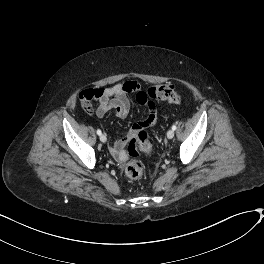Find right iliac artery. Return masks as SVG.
I'll return each instance as SVG.
<instances>
[{
  "instance_id": "right-iliac-artery-1",
  "label": "right iliac artery",
  "mask_w": 264,
  "mask_h": 264,
  "mask_svg": "<svg viewBox=\"0 0 264 264\" xmlns=\"http://www.w3.org/2000/svg\"><path fill=\"white\" fill-rule=\"evenodd\" d=\"M97 134L100 136L102 134L101 130L100 129H97Z\"/></svg>"
}]
</instances>
